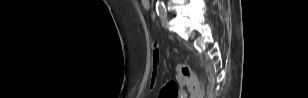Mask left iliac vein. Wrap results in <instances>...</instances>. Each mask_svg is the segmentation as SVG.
<instances>
[{"label":"left iliac vein","mask_w":308,"mask_h":98,"mask_svg":"<svg viewBox=\"0 0 308 98\" xmlns=\"http://www.w3.org/2000/svg\"><path fill=\"white\" fill-rule=\"evenodd\" d=\"M162 25H163L164 28H168L169 22H168L167 18H164V19H163Z\"/></svg>","instance_id":"1"}]
</instances>
